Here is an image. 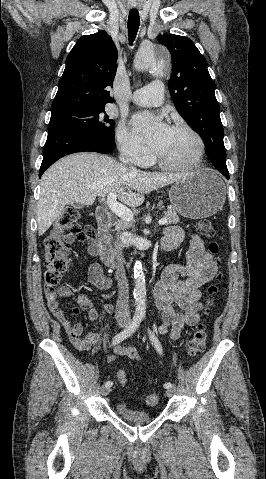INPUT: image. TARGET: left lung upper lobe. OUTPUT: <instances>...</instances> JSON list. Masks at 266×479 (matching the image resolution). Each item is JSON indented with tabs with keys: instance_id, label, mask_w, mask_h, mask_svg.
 I'll list each match as a JSON object with an SVG mask.
<instances>
[{
	"instance_id": "1",
	"label": "left lung upper lobe",
	"mask_w": 266,
	"mask_h": 479,
	"mask_svg": "<svg viewBox=\"0 0 266 479\" xmlns=\"http://www.w3.org/2000/svg\"><path fill=\"white\" fill-rule=\"evenodd\" d=\"M158 41L171 53L173 70L168 87L175 108L202 137L212 164L218 170L228 171L215 82L205 57L187 37L164 34L158 36Z\"/></svg>"
}]
</instances>
